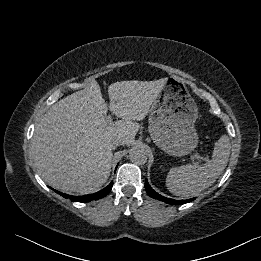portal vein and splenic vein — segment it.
<instances>
[{"label": "portal vein and splenic vein", "mask_w": 261, "mask_h": 261, "mask_svg": "<svg viewBox=\"0 0 261 261\" xmlns=\"http://www.w3.org/2000/svg\"><path fill=\"white\" fill-rule=\"evenodd\" d=\"M112 117H111V115H109V116H107L106 117V123L107 124H111L112 123ZM192 159L194 160V159H197V160H204V161H206L207 159L205 158V157H203V156H201V155H199V154H195V155H193L192 156Z\"/></svg>", "instance_id": "obj_1"}]
</instances>
